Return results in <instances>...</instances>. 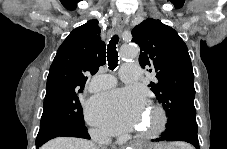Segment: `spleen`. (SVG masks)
<instances>
[{
  "label": "spleen",
  "instance_id": "spleen-1",
  "mask_svg": "<svg viewBox=\"0 0 227 149\" xmlns=\"http://www.w3.org/2000/svg\"><path fill=\"white\" fill-rule=\"evenodd\" d=\"M175 145L178 146L180 149H186L187 148V146L183 143H176Z\"/></svg>",
  "mask_w": 227,
  "mask_h": 149
}]
</instances>
